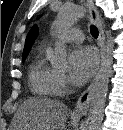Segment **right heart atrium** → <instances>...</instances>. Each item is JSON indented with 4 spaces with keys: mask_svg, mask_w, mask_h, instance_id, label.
<instances>
[{
    "mask_svg": "<svg viewBox=\"0 0 123 130\" xmlns=\"http://www.w3.org/2000/svg\"><path fill=\"white\" fill-rule=\"evenodd\" d=\"M69 83L65 75L59 73L58 75V91L59 94L65 93L68 90Z\"/></svg>",
    "mask_w": 123,
    "mask_h": 130,
    "instance_id": "1",
    "label": "right heart atrium"
}]
</instances>
